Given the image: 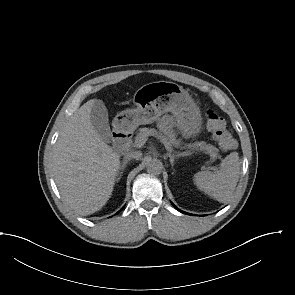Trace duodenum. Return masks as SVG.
<instances>
[{
  "mask_svg": "<svg viewBox=\"0 0 295 295\" xmlns=\"http://www.w3.org/2000/svg\"><path fill=\"white\" fill-rule=\"evenodd\" d=\"M131 134L126 124H116L113 132V147L118 153H126L130 146Z\"/></svg>",
  "mask_w": 295,
  "mask_h": 295,
  "instance_id": "duodenum-1",
  "label": "duodenum"
}]
</instances>
